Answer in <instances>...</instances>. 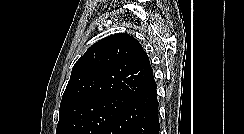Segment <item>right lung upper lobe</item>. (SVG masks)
<instances>
[{"label": "right lung upper lobe", "instance_id": "obj_1", "mask_svg": "<svg viewBox=\"0 0 244 134\" xmlns=\"http://www.w3.org/2000/svg\"><path fill=\"white\" fill-rule=\"evenodd\" d=\"M156 88L149 58L128 34H114L93 44L75 63L63 94L59 119L96 99H133Z\"/></svg>", "mask_w": 244, "mask_h": 134}]
</instances>
